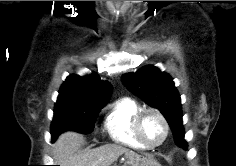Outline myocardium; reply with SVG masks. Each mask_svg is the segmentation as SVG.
Wrapping results in <instances>:
<instances>
[{
	"label": "myocardium",
	"mask_w": 236,
	"mask_h": 166,
	"mask_svg": "<svg viewBox=\"0 0 236 166\" xmlns=\"http://www.w3.org/2000/svg\"><path fill=\"white\" fill-rule=\"evenodd\" d=\"M148 113H152V114L156 115L161 120V122L164 126V136L156 144L148 143L142 135V130H141L142 121ZM133 127H134V132H135L137 139L140 141V143L145 148H148V149H154V148L161 146L167 140V138L169 136V132H170L169 123H168L166 117L164 116V114L160 110H158L157 108H153V107L142 108L135 116Z\"/></svg>",
	"instance_id": "1"
}]
</instances>
